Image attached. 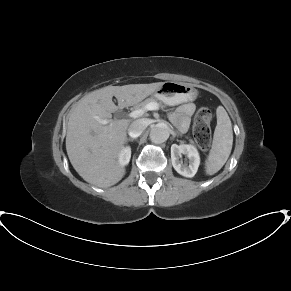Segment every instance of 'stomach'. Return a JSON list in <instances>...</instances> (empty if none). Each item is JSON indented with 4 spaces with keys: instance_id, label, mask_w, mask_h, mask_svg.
Masks as SVG:
<instances>
[{
    "instance_id": "1",
    "label": "stomach",
    "mask_w": 291,
    "mask_h": 291,
    "mask_svg": "<svg viewBox=\"0 0 291 291\" xmlns=\"http://www.w3.org/2000/svg\"><path fill=\"white\" fill-rule=\"evenodd\" d=\"M197 91L188 84L173 81L164 82L154 92L155 97L168 105H176L195 98Z\"/></svg>"
}]
</instances>
